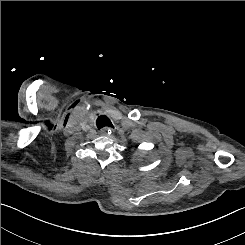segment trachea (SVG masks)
Returning a JSON list of instances; mask_svg holds the SVG:
<instances>
[{
	"label": "trachea",
	"mask_w": 245,
	"mask_h": 245,
	"mask_svg": "<svg viewBox=\"0 0 245 245\" xmlns=\"http://www.w3.org/2000/svg\"><path fill=\"white\" fill-rule=\"evenodd\" d=\"M96 125L98 129H102L104 127H114L113 124L111 123L110 119L105 116V115H100L97 120H96Z\"/></svg>",
	"instance_id": "1"
}]
</instances>
